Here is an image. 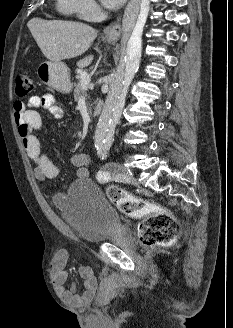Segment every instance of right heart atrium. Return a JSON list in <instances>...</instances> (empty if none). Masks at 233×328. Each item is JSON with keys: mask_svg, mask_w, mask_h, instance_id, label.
<instances>
[{"mask_svg": "<svg viewBox=\"0 0 233 328\" xmlns=\"http://www.w3.org/2000/svg\"><path fill=\"white\" fill-rule=\"evenodd\" d=\"M75 4V13L82 19L89 20L94 16L97 5L95 0H73Z\"/></svg>", "mask_w": 233, "mask_h": 328, "instance_id": "d8ad5b80", "label": "right heart atrium"}]
</instances>
